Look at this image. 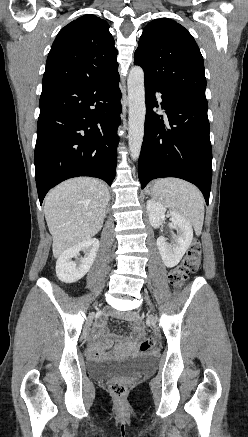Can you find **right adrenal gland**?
Returning <instances> with one entry per match:
<instances>
[{
    "mask_svg": "<svg viewBox=\"0 0 248 437\" xmlns=\"http://www.w3.org/2000/svg\"><path fill=\"white\" fill-rule=\"evenodd\" d=\"M109 212V206H108V208H107V213Z\"/></svg>",
    "mask_w": 248,
    "mask_h": 437,
    "instance_id": "2a0ac1e0",
    "label": "right adrenal gland"
}]
</instances>
